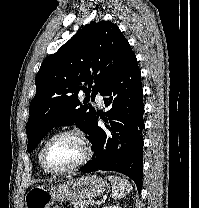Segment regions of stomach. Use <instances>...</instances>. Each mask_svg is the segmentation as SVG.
Returning <instances> with one entry per match:
<instances>
[{"instance_id":"stomach-1","label":"stomach","mask_w":199,"mask_h":208,"mask_svg":"<svg viewBox=\"0 0 199 208\" xmlns=\"http://www.w3.org/2000/svg\"><path fill=\"white\" fill-rule=\"evenodd\" d=\"M108 190V183L96 175L69 179L56 186H35L25 195V208H50L56 202L92 199Z\"/></svg>"}]
</instances>
